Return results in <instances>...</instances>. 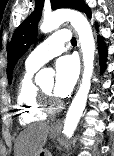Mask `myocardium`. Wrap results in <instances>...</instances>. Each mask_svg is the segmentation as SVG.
Returning <instances> with one entry per match:
<instances>
[{"mask_svg": "<svg viewBox=\"0 0 114 156\" xmlns=\"http://www.w3.org/2000/svg\"><path fill=\"white\" fill-rule=\"evenodd\" d=\"M40 105L45 113L53 114L60 109V102L53 98L51 92L39 88Z\"/></svg>", "mask_w": 114, "mask_h": 156, "instance_id": "myocardium-1", "label": "myocardium"}]
</instances>
